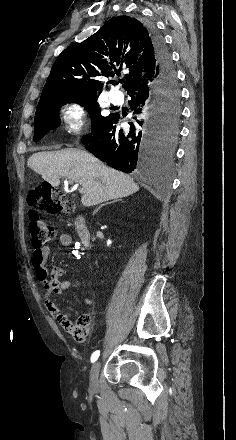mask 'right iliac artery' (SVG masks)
<instances>
[{
  "instance_id": "82829eb1",
  "label": "right iliac artery",
  "mask_w": 236,
  "mask_h": 440,
  "mask_svg": "<svg viewBox=\"0 0 236 440\" xmlns=\"http://www.w3.org/2000/svg\"><path fill=\"white\" fill-rule=\"evenodd\" d=\"M99 355H100V351L99 350L93 352V354L91 356V362L92 363L95 362L98 359Z\"/></svg>"
}]
</instances>
